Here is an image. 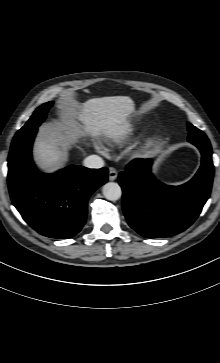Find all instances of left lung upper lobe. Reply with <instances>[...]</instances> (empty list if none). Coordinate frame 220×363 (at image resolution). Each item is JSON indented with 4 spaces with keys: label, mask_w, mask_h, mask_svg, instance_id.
<instances>
[{
    "label": "left lung upper lobe",
    "mask_w": 220,
    "mask_h": 363,
    "mask_svg": "<svg viewBox=\"0 0 220 363\" xmlns=\"http://www.w3.org/2000/svg\"><path fill=\"white\" fill-rule=\"evenodd\" d=\"M188 131H189V136H188V140H197V141H201V142H206L209 141L207 139V136L198 128H196L195 126H193L192 124L188 123Z\"/></svg>",
    "instance_id": "5c2ea615"
}]
</instances>
